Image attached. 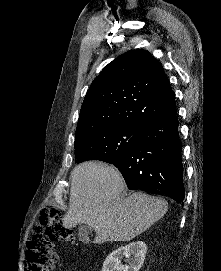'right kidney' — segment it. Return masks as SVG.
<instances>
[{"label": "right kidney", "mask_w": 221, "mask_h": 271, "mask_svg": "<svg viewBox=\"0 0 221 271\" xmlns=\"http://www.w3.org/2000/svg\"><path fill=\"white\" fill-rule=\"evenodd\" d=\"M146 251L145 241H130L127 245H120L105 257L101 271H139L144 263ZM124 257H129V265L121 263Z\"/></svg>", "instance_id": "ca27d5eb"}]
</instances>
